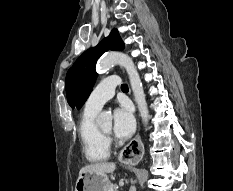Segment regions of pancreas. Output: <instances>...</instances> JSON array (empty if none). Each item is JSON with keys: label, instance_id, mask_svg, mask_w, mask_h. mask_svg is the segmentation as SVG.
I'll return each mask as SVG.
<instances>
[{"label": "pancreas", "instance_id": "obj_1", "mask_svg": "<svg viewBox=\"0 0 233 191\" xmlns=\"http://www.w3.org/2000/svg\"><path fill=\"white\" fill-rule=\"evenodd\" d=\"M107 191H117V186L113 185V184H110Z\"/></svg>", "mask_w": 233, "mask_h": 191}]
</instances>
